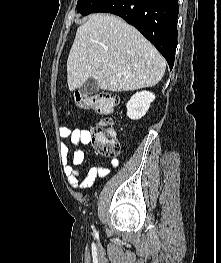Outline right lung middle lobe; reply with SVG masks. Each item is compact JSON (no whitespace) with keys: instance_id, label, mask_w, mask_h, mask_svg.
Segmentation results:
<instances>
[{"instance_id":"right-lung-middle-lobe-1","label":"right lung middle lobe","mask_w":221,"mask_h":263,"mask_svg":"<svg viewBox=\"0 0 221 263\" xmlns=\"http://www.w3.org/2000/svg\"><path fill=\"white\" fill-rule=\"evenodd\" d=\"M105 0H78L77 12L83 16L93 13L94 10Z\"/></svg>"}]
</instances>
